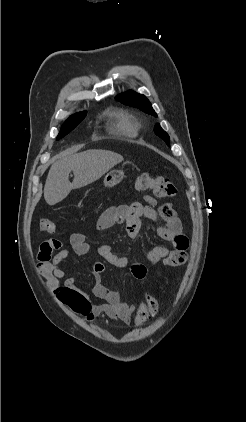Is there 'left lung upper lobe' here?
Listing matches in <instances>:
<instances>
[{
  "label": "left lung upper lobe",
  "mask_w": 246,
  "mask_h": 422,
  "mask_svg": "<svg viewBox=\"0 0 246 422\" xmlns=\"http://www.w3.org/2000/svg\"><path fill=\"white\" fill-rule=\"evenodd\" d=\"M116 100L120 101L121 103H123L125 105H129V106L139 108V109L145 111L146 113L157 116L155 111L152 109V106H151L150 102L148 101V99L142 94H138L134 91H128L126 93H122V94L118 95L116 97ZM154 132L157 136L162 138L168 146L170 145V138H169L168 134L160 127L159 124H156V126L154 128Z\"/></svg>",
  "instance_id": "5c2ea615"
}]
</instances>
